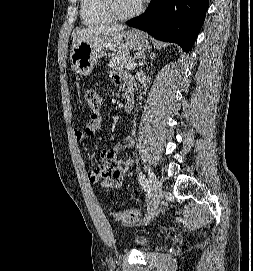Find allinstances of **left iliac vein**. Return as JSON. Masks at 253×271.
<instances>
[{
	"label": "left iliac vein",
	"mask_w": 253,
	"mask_h": 271,
	"mask_svg": "<svg viewBox=\"0 0 253 271\" xmlns=\"http://www.w3.org/2000/svg\"><path fill=\"white\" fill-rule=\"evenodd\" d=\"M149 181H150V189H151L150 202H149L150 210L145 219V223H148L155 217L160 201L164 196V193L161 188V183L159 182L158 178L153 172L149 174Z\"/></svg>",
	"instance_id": "1"
}]
</instances>
